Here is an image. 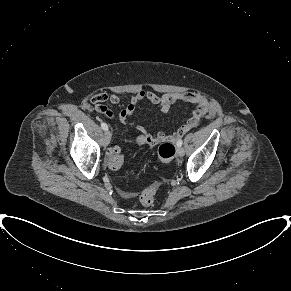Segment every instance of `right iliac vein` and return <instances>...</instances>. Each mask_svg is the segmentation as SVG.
<instances>
[{
    "label": "right iliac vein",
    "mask_w": 291,
    "mask_h": 291,
    "mask_svg": "<svg viewBox=\"0 0 291 291\" xmlns=\"http://www.w3.org/2000/svg\"><path fill=\"white\" fill-rule=\"evenodd\" d=\"M111 140V133L110 131L106 130L104 137H103V145L106 147L109 145Z\"/></svg>",
    "instance_id": "obj_1"
}]
</instances>
